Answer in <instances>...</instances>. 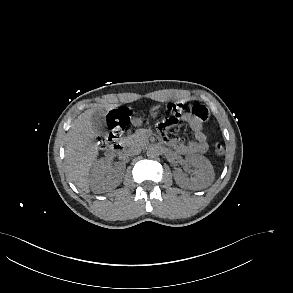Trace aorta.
Instances as JSON below:
<instances>
[{"label":"aorta","mask_w":293,"mask_h":293,"mask_svg":"<svg viewBox=\"0 0 293 293\" xmlns=\"http://www.w3.org/2000/svg\"><path fill=\"white\" fill-rule=\"evenodd\" d=\"M146 155H147L148 158L153 159V158H156L158 156V151L154 147H150L147 150Z\"/></svg>","instance_id":"aorta-1"}]
</instances>
